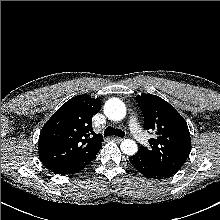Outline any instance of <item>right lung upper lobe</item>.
Wrapping results in <instances>:
<instances>
[{
  "mask_svg": "<svg viewBox=\"0 0 220 220\" xmlns=\"http://www.w3.org/2000/svg\"><path fill=\"white\" fill-rule=\"evenodd\" d=\"M100 100L78 95L64 103L47 121L39 136V157L51 170L83 159L102 146L91 120L101 109Z\"/></svg>",
  "mask_w": 220,
  "mask_h": 220,
  "instance_id": "cb5924a9",
  "label": "right lung upper lobe"
}]
</instances>
